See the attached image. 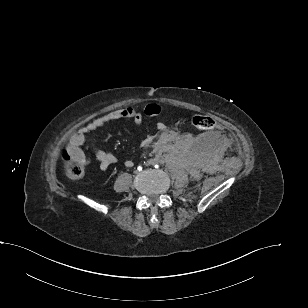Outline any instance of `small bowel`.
<instances>
[{"label": "small bowel", "instance_id": "c3829d8e", "mask_svg": "<svg viewBox=\"0 0 308 308\" xmlns=\"http://www.w3.org/2000/svg\"><path fill=\"white\" fill-rule=\"evenodd\" d=\"M161 111L162 109L158 104L152 103L146 105L143 111H139L132 107H125L101 115L81 127L71 136L67 145V153L71 157L78 159L83 163H88V159L86 158L84 152L81 149V147L85 143L88 133L99 129L108 122L120 119H130L137 126H141L143 123L144 116L156 117L161 113ZM157 129L160 132L157 139H154L151 135H146L140 143L141 147H148L154 144L156 148L163 149L169 143L175 141L178 137V134L175 131L169 130L166 124L163 122H159L157 124ZM95 156L100 163L101 170H106L110 165L114 164L117 161L115 155L104 150H97ZM125 165L127 167H132L134 163L131 160H127L125 162Z\"/></svg>", "mask_w": 308, "mask_h": 308}]
</instances>
